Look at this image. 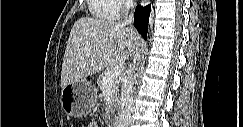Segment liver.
<instances>
[{"label": "liver", "mask_w": 243, "mask_h": 127, "mask_svg": "<svg viewBox=\"0 0 243 127\" xmlns=\"http://www.w3.org/2000/svg\"><path fill=\"white\" fill-rule=\"evenodd\" d=\"M139 35L125 24L82 17L70 32L61 72V87L121 66L135 50Z\"/></svg>", "instance_id": "liver-1"}]
</instances>
